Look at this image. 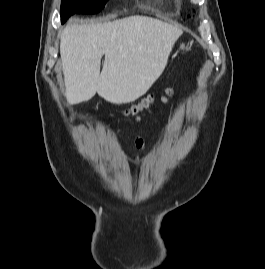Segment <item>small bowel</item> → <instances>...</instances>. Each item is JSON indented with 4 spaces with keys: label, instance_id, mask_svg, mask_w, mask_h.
<instances>
[{
    "label": "small bowel",
    "instance_id": "small-bowel-1",
    "mask_svg": "<svg viewBox=\"0 0 265 269\" xmlns=\"http://www.w3.org/2000/svg\"><path fill=\"white\" fill-rule=\"evenodd\" d=\"M135 143H136V146L138 149H140V150L146 149L145 139L142 135L137 136Z\"/></svg>",
    "mask_w": 265,
    "mask_h": 269
}]
</instances>
